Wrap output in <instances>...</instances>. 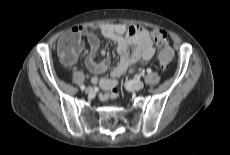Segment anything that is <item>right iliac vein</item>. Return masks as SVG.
I'll return each mask as SVG.
<instances>
[{
	"label": "right iliac vein",
	"mask_w": 230,
	"mask_h": 155,
	"mask_svg": "<svg viewBox=\"0 0 230 155\" xmlns=\"http://www.w3.org/2000/svg\"><path fill=\"white\" fill-rule=\"evenodd\" d=\"M93 91H94L93 87H87V88L85 89V92H86L87 94H90V93H92Z\"/></svg>",
	"instance_id": "obj_1"
}]
</instances>
